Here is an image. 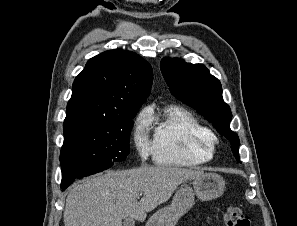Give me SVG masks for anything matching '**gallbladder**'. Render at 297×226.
Returning <instances> with one entry per match:
<instances>
[{"label":"gallbladder","instance_id":"1","mask_svg":"<svg viewBox=\"0 0 297 226\" xmlns=\"http://www.w3.org/2000/svg\"><path fill=\"white\" fill-rule=\"evenodd\" d=\"M135 221L133 219L127 218L123 222V226H134Z\"/></svg>","mask_w":297,"mask_h":226}]
</instances>
